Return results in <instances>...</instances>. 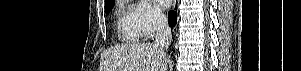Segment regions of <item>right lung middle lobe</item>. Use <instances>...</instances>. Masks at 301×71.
I'll list each match as a JSON object with an SVG mask.
<instances>
[{
	"label": "right lung middle lobe",
	"instance_id": "1",
	"mask_svg": "<svg viewBox=\"0 0 301 71\" xmlns=\"http://www.w3.org/2000/svg\"><path fill=\"white\" fill-rule=\"evenodd\" d=\"M113 6H114V1H112L108 4H105V12L106 13L110 12L112 10Z\"/></svg>",
	"mask_w": 301,
	"mask_h": 71
}]
</instances>
